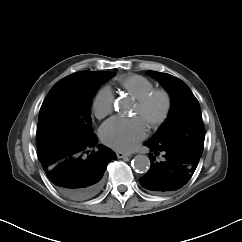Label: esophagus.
Here are the masks:
<instances>
[{
  "mask_svg": "<svg viewBox=\"0 0 242 242\" xmlns=\"http://www.w3.org/2000/svg\"><path fill=\"white\" fill-rule=\"evenodd\" d=\"M116 155L118 158L130 157V155L128 153H123V152H117Z\"/></svg>",
  "mask_w": 242,
  "mask_h": 242,
  "instance_id": "obj_1",
  "label": "esophagus"
}]
</instances>
